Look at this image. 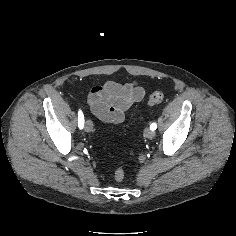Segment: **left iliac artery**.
Here are the masks:
<instances>
[{"label":"left iliac artery","mask_w":236,"mask_h":236,"mask_svg":"<svg viewBox=\"0 0 236 236\" xmlns=\"http://www.w3.org/2000/svg\"><path fill=\"white\" fill-rule=\"evenodd\" d=\"M157 128V124L156 123H152L151 125H150V129L151 130H155Z\"/></svg>","instance_id":"44dca946"}]
</instances>
